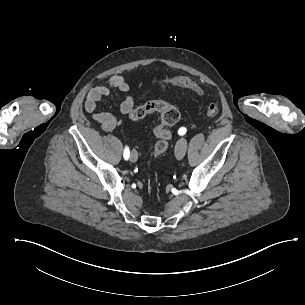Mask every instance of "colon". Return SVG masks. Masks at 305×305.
I'll list each match as a JSON object with an SVG mask.
<instances>
[{
  "label": "colon",
  "mask_w": 305,
  "mask_h": 305,
  "mask_svg": "<svg viewBox=\"0 0 305 305\" xmlns=\"http://www.w3.org/2000/svg\"><path fill=\"white\" fill-rule=\"evenodd\" d=\"M149 82L154 83L156 86L161 85L166 88L169 86L176 87L178 84L181 88L195 90V87H193V80L185 76L179 77L178 75H175L174 77L164 78L161 74H153L148 83ZM218 112L219 109L217 105L213 103L207 105L208 115L216 116ZM152 113H158L160 115L159 122L153 130L157 141L152 150L153 156L158 158L168 150L172 139V134L169 128L179 120L180 113L175 106L165 100H153L133 109L130 113V119L138 121Z\"/></svg>",
  "instance_id": "5ec220e1"
}]
</instances>
